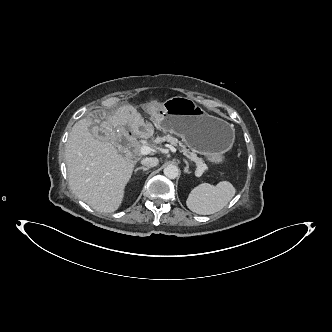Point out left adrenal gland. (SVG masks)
Instances as JSON below:
<instances>
[{"mask_svg":"<svg viewBox=\"0 0 332 332\" xmlns=\"http://www.w3.org/2000/svg\"><path fill=\"white\" fill-rule=\"evenodd\" d=\"M183 161H184L185 164H186V167H185V169H184V172H185V173H190V172H189V163H188V161H187L186 159H183Z\"/></svg>","mask_w":332,"mask_h":332,"instance_id":"a2214340","label":"left adrenal gland"}]
</instances>
